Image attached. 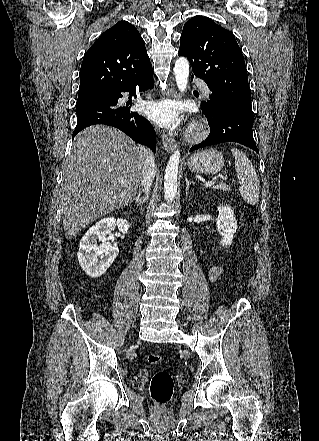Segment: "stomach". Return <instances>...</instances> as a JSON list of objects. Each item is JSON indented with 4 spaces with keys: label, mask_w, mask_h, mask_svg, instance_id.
<instances>
[{
    "label": "stomach",
    "mask_w": 319,
    "mask_h": 441,
    "mask_svg": "<svg viewBox=\"0 0 319 441\" xmlns=\"http://www.w3.org/2000/svg\"><path fill=\"white\" fill-rule=\"evenodd\" d=\"M188 168L197 173L216 174L224 166L223 155L214 149H205L191 155Z\"/></svg>",
    "instance_id": "1"
}]
</instances>
